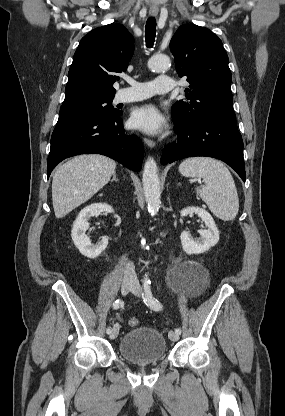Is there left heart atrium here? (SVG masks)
<instances>
[{
	"label": "left heart atrium",
	"mask_w": 285,
	"mask_h": 416,
	"mask_svg": "<svg viewBox=\"0 0 285 416\" xmlns=\"http://www.w3.org/2000/svg\"><path fill=\"white\" fill-rule=\"evenodd\" d=\"M131 121L134 127L149 134L159 133L165 125L163 116L150 104L137 108L132 113Z\"/></svg>",
	"instance_id": "left-heart-atrium-1"
}]
</instances>
